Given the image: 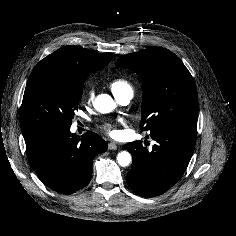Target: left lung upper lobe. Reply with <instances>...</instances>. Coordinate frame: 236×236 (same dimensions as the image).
I'll return each mask as SVG.
<instances>
[{"instance_id":"left-lung-upper-lobe-1","label":"left lung upper lobe","mask_w":236,"mask_h":236,"mask_svg":"<svg viewBox=\"0 0 236 236\" xmlns=\"http://www.w3.org/2000/svg\"><path fill=\"white\" fill-rule=\"evenodd\" d=\"M124 67L143 80L140 127L153 131L168 125L197 127L198 96L193 77L182 61L165 48H149L121 56Z\"/></svg>"}]
</instances>
